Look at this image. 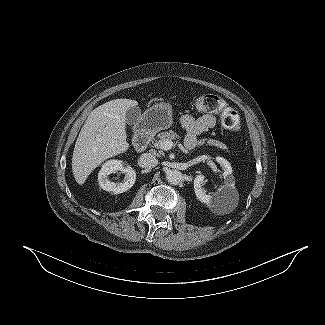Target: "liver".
<instances>
[{"label":"liver","mask_w":325,"mask_h":325,"mask_svg":"<svg viewBox=\"0 0 325 325\" xmlns=\"http://www.w3.org/2000/svg\"><path fill=\"white\" fill-rule=\"evenodd\" d=\"M138 102L115 99L91 111L75 143L72 171L76 182L84 184L91 172L102 162L126 152V112Z\"/></svg>","instance_id":"1"}]
</instances>
